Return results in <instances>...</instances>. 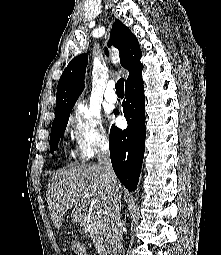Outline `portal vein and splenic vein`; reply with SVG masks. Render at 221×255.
<instances>
[{
  "label": "portal vein and splenic vein",
  "instance_id": "portal-vein-and-splenic-vein-1",
  "mask_svg": "<svg viewBox=\"0 0 221 255\" xmlns=\"http://www.w3.org/2000/svg\"><path fill=\"white\" fill-rule=\"evenodd\" d=\"M94 212H96V213H100V212H101V207H100L99 204H96V205L94 206Z\"/></svg>",
  "mask_w": 221,
  "mask_h": 255
}]
</instances>
